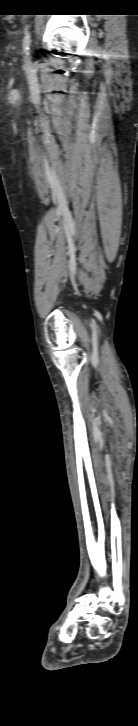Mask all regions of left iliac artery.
Returning a JSON list of instances; mask_svg holds the SVG:
<instances>
[{
    "instance_id": "left-iliac-artery-1",
    "label": "left iliac artery",
    "mask_w": 138,
    "mask_h": 726,
    "mask_svg": "<svg viewBox=\"0 0 138 726\" xmlns=\"http://www.w3.org/2000/svg\"><path fill=\"white\" fill-rule=\"evenodd\" d=\"M30 44H31V35H30L29 31H26L24 39H23V49H24V53L26 55L29 54Z\"/></svg>"
}]
</instances>
